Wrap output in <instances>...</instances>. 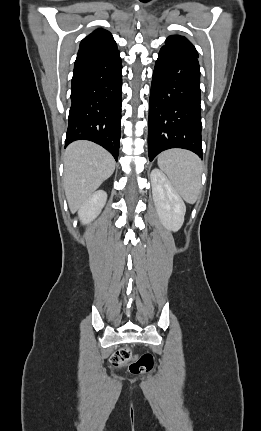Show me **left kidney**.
Returning a JSON list of instances; mask_svg holds the SVG:
<instances>
[{"label":"left kidney","mask_w":261,"mask_h":431,"mask_svg":"<svg viewBox=\"0 0 261 431\" xmlns=\"http://www.w3.org/2000/svg\"><path fill=\"white\" fill-rule=\"evenodd\" d=\"M153 200L161 223L170 231H178L184 222L186 206L165 174L159 169L151 172Z\"/></svg>","instance_id":"1"}]
</instances>
